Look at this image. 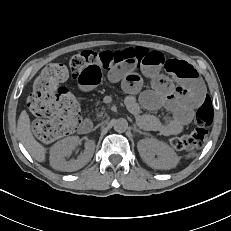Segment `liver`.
I'll return each mask as SVG.
<instances>
[{
	"label": "liver",
	"mask_w": 231,
	"mask_h": 231,
	"mask_svg": "<svg viewBox=\"0 0 231 231\" xmlns=\"http://www.w3.org/2000/svg\"><path fill=\"white\" fill-rule=\"evenodd\" d=\"M18 136L28 153L38 162H44L46 158V148L33 137L31 132L30 118L23 110L17 123Z\"/></svg>",
	"instance_id": "1"
}]
</instances>
